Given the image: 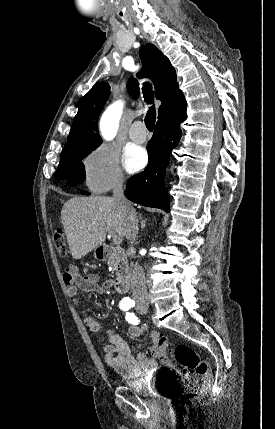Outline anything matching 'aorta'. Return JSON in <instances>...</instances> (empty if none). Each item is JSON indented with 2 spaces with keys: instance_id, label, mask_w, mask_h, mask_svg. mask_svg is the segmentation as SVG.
Listing matches in <instances>:
<instances>
[{
  "instance_id": "aorta-1",
  "label": "aorta",
  "mask_w": 275,
  "mask_h": 429,
  "mask_svg": "<svg viewBox=\"0 0 275 429\" xmlns=\"http://www.w3.org/2000/svg\"><path fill=\"white\" fill-rule=\"evenodd\" d=\"M120 117V106H110L102 116L101 130L106 139H111L116 134L118 128V121Z\"/></svg>"
}]
</instances>
